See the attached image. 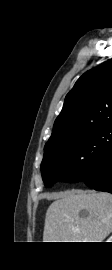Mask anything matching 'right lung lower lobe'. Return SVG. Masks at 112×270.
Returning a JSON list of instances; mask_svg holds the SVG:
<instances>
[{
	"mask_svg": "<svg viewBox=\"0 0 112 270\" xmlns=\"http://www.w3.org/2000/svg\"><path fill=\"white\" fill-rule=\"evenodd\" d=\"M82 181L95 190L112 193V146L101 155L96 168Z\"/></svg>",
	"mask_w": 112,
	"mask_h": 270,
	"instance_id": "98d812e1",
	"label": "right lung lower lobe"
}]
</instances>
